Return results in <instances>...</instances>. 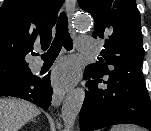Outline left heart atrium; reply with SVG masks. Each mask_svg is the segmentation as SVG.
Returning <instances> with one entry per match:
<instances>
[{"label": "left heart atrium", "instance_id": "left-heart-atrium-1", "mask_svg": "<svg viewBox=\"0 0 151 131\" xmlns=\"http://www.w3.org/2000/svg\"><path fill=\"white\" fill-rule=\"evenodd\" d=\"M75 77L74 66L69 62H62L55 68L52 81L58 91H63L73 84Z\"/></svg>", "mask_w": 151, "mask_h": 131}]
</instances>
